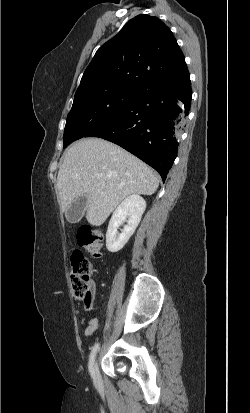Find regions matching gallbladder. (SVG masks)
Listing matches in <instances>:
<instances>
[{
  "instance_id": "gallbladder-1",
  "label": "gallbladder",
  "mask_w": 250,
  "mask_h": 413,
  "mask_svg": "<svg viewBox=\"0 0 250 413\" xmlns=\"http://www.w3.org/2000/svg\"><path fill=\"white\" fill-rule=\"evenodd\" d=\"M86 208L87 197L85 195L75 198L65 211L67 221L70 223H78L84 216Z\"/></svg>"
}]
</instances>
